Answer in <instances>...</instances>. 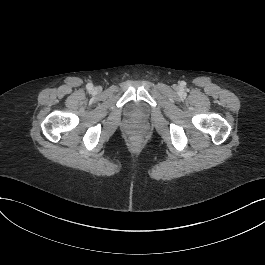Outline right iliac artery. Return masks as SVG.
Returning <instances> with one entry per match:
<instances>
[{
    "instance_id": "82829eb1",
    "label": "right iliac artery",
    "mask_w": 265,
    "mask_h": 265,
    "mask_svg": "<svg viewBox=\"0 0 265 265\" xmlns=\"http://www.w3.org/2000/svg\"><path fill=\"white\" fill-rule=\"evenodd\" d=\"M86 88H87V90H92L93 89V84L92 83H88L87 85H86Z\"/></svg>"
}]
</instances>
